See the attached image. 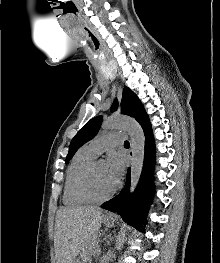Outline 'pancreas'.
Here are the masks:
<instances>
[{
  "label": "pancreas",
  "mask_w": 220,
  "mask_h": 263,
  "mask_svg": "<svg viewBox=\"0 0 220 263\" xmlns=\"http://www.w3.org/2000/svg\"><path fill=\"white\" fill-rule=\"evenodd\" d=\"M98 247L97 245V239L95 238L93 241V244H91L86 250L85 253L86 254H91L93 252H95V249Z\"/></svg>",
  "instance_id": "pancreas-1"
}]
</instances>
